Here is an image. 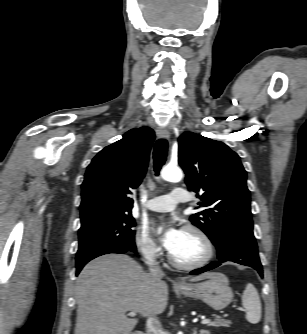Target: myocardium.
Returning <instances> with one entry per match:
<instances>
[{
	"mask_svg": "<svg viewBox=\"0 0 307 334\" xmlns=\"http://www.w3.org/2000/svg\"><path fill=\"white\" fill-rule=\"evenodd\" d=\"M183 231L193 232L201 239L204 246V255L196 261L184 263L177 260L172 253L169 252L168 258L170 263L176 268L183 270H193L206 265L214 255V245L208 234L200 227L192 224L185 225Z\"/></svg>",
	"mask_w": 307,
	"mask_h": 334,
	"instance_id": "1",
	"label": "myocardium"
}]
</instances>
